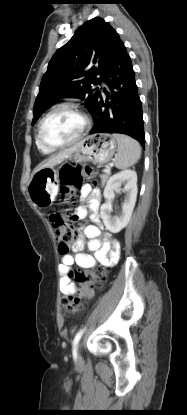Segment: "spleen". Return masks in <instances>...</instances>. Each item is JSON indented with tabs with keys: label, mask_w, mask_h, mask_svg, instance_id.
I'll use <instances>...</instances> for the list:
<instances>
[{
	"label": "spleen",
	"mask_w": 187,
	"mask_h": 415,
	"mask_svg": "<svg viewBox=\"0 0 187 415\" xmlns=\"http://www.w3.org/2000/svg\"><path fill=\"white\" fill-rule=\"evenodd\" d=\"M113 136L118 144L115 166L118 169H125L137 163L141 156L139 143L127 135L113 134Z\"/></svg>",
	"instance_id": "3e777b00"
}]
</instances>
